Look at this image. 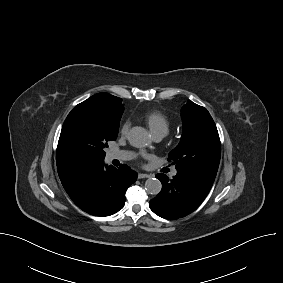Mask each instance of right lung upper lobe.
<instances>
[{
    "instance_id": "obj_1",
    "label": "right lung upper lobe",
    "mask_w": 283,
    "mask_h": 283,
    "mask_svg": "<svg viewBox=\"0 0 283 283\" xmlns=\"http://www.w3.org/2000/svg\"><path fill=\"white\" fill-rule=\"evenodd\" d=\"M98 94H100V93H98ZM57 169H58L59 177H60V179H62L63 177H65L67 174H69L75 168H73V167H63V168H57Z\"/></svg>"
}]
</instances>
